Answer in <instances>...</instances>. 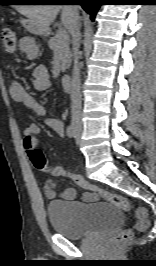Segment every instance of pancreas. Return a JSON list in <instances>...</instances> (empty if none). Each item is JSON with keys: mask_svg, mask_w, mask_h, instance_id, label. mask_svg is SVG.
<instances>
[{"mask_svg": "<svg viewBox=\"0 0 156 266\" xmlns=\"http://www.w3.org/2000/svg\"><path fill=\"white\" fill-rule=\"evenodd\" d=\"M69 42L68 36L66 38H62L58 34L52 37L48 42L50 49L61 62V72H66L71 64V51L69 48Z\"/></svg>", "mask_w": 156, "mask_h": 266, "instance_id": "1", "label": "pancreas"}]
</instances>
